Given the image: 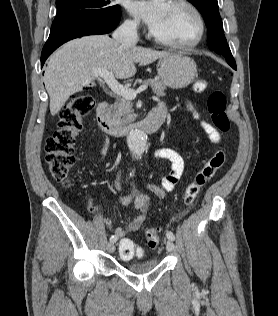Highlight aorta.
Masks as SVG:
<instances>
[{"instance_id": "aorta-1", "label": "aorta", "mask_w": 278, "mask_h": 316, "mask_svg": "<svg viewBox=\"0 0 278 316\" xmlns=\"http://www.w3.org/2000/svg\"><path fill=\"white\" fill-rule=\"evenodd\" d=\"M146 141L147 135L141 129L132 130L128 134L127 144L129 150L132 152L133 158H135L136 160L141 159V156L145 151Z\"/></svg>"}]
</instances>
